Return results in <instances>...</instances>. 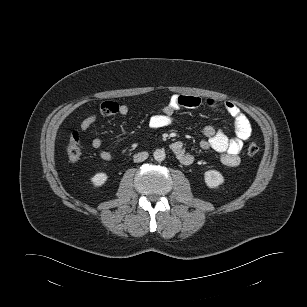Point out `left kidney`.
Masks as SVG:
<instances>
[{"instance_id": "5707ae66", "label": "left kidney", "mask_w": 307, "mask_h": 307, "mask_svg": "<svg viewBox=\"0 0 307 307\" xmlns=\"http://www.w3.org/2000/svg\"><path fill=\"white\" fill-rule=\"evenodd\" d=\"M205 183L209 188H216L224 183V177L216 170H208L204 173Z\"/></svg>"}]
</instances>
